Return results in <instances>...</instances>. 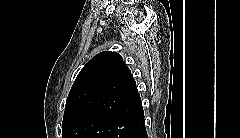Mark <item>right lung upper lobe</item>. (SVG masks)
<instances>
[{"label": "right lung upper lobe", "instance_id": "obj_1", "mask_svg": "<svg viewBox=\"0 0 240 138\" xmlns=\"http://www.w3.org/2000/svg\"><path fill=\"white\" fill-rule=\"evenodd\" d=\"M139 96L136 82L122 57L105 51L80 71L69 92L64 117L97 111L109 114Z\"/></svg>", "mask_w": 240, "mask_h": 138}]
</instances>
